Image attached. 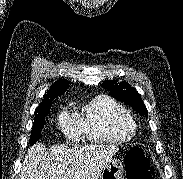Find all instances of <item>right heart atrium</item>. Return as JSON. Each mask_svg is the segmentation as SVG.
I'll return each mask as SVG.
<instances>
[{
	"label": "right heart atrium",
	"mask_w": 183,
	"mask_h": 179,
	"mask_svg": "<svg viewBox=\"0 0 183 179\" xmlns=\"http://www.w3.org/2000/svg\"><path fill=\"white\" fill-rule=\"evenodd\" d=\"M59 124L62 130L70 135L75 136L79 130V123L68 112L61 113L59 117Z\"/></svg>",
	"instance_id": "1"
}]
</instances>
